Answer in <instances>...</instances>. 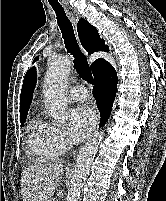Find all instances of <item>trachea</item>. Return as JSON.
I'll use <instances>...</instances> for the list:
<instances>
[{
    "label": "trachea",
    "instance_id": "3493384b",
    "mask_svg": "<svg viewBox=\"0 0 166 201\" xmlns=\"http://www.w3.org/2000/svg\"><path fill=\"white\" fill-rule=\"evenodd\" d=\"M52 8L57 16V23L64 39L65 48L67 49V52L74 57V67L77 70V73L83 80L90 84H94L92 73L86 57L78 47L71 21L67 17L62 7L52 6Z\"/></svg>",
    "mask_w": 166,
    "mask_h": 201
}]
</instances>
